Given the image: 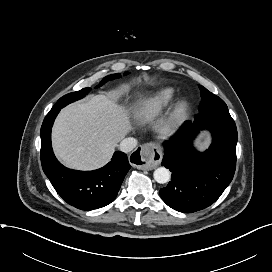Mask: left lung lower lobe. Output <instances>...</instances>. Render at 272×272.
I'll use <instances>...</instances> for the list:
<instances>
[{"instance_id": "left-lung-lower-lobe-1", "label": "left lung lower lobe", "mask_w": 272, "mask_h": 272, "mask_svg": "<svg viewBox=\"0 0 272 272\" xmlns=\"http://www.w3.org/2000/svg\"><path fill=\"white\" fill-rule=\"evenodd\" d=\"M208 129L213 141L203 153L192 140ZM237 129L228 109L199 113L186 121L164 142L162 165L172 172V180L160 190L163 201L176 211L192 213L213 204L230 184L236 168Z\"/></svg>"}]
</instances>
